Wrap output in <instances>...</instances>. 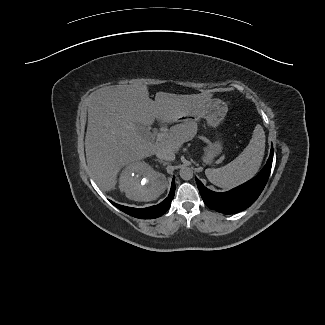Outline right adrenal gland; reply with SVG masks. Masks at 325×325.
Masks as SVG:
<instances>
[{"mask_svg":"<svg viewBox=\"0 0 325 325\" xmlns=\"http://www.w3.org/2000/svg\"><path fill=\"white\" fill-rule=\"evenodd\" d=\"M155 161H157V162H159V163H161L163 165H167V162H164L163 160L155 159Z\"/></svg>","mask_w":325,"mask_h":325,"instance_id":"right-adrenal-gland-1","label":"right adrenal gland"}]
</instances>
